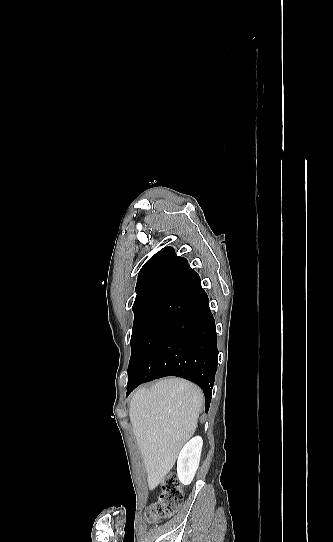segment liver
I'll list each match as a JSON object with an SVG mask.
<instances>
[{
	"instance_id": "6515ba94",
	"label": "liver",
	"mask_w": 333,
	"mask_h": 542,
	"mask_svg": "<svg viewBox=\"0 0 333 542\" xmlns=\"http://www.w3.org/2000/svg\"><path fill=\"white\" fill-rule=\"evenodd\" d=\"M203 394L181 378H165L152 388H139L130 402V420L149 490L172 470L184 444L192 438Z\"/></svg>"
}]
</instances>
